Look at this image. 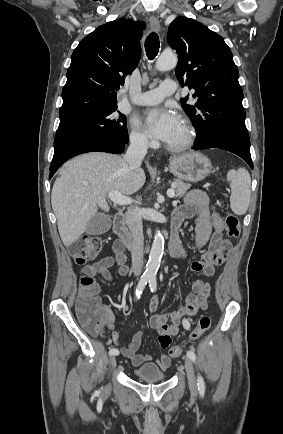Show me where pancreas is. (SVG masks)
Wrapping results in <instances>:
<instances>
[{"instance_id": "pancreas-1", "label": "pancreas", "mask_w": 283, "mask_h": 434, "mask_svg": "<svg viewBox=\"0 0 283 434\" xmlns=\"http://www.w3.org/2000/svg\"><path fill=\"white\" fill-rule=\"evenodd\" d=\"M174 190L177 197H183L187 190L190 189L191 185L188 183H184L179 179H176L174 182Z\"/></svg>"}]
</instances>
